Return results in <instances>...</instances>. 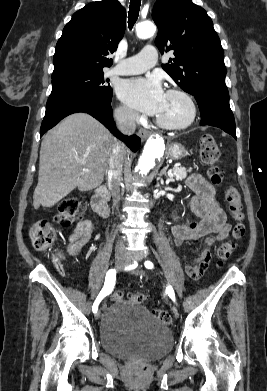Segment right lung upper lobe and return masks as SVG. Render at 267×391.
<instances>
[{
    "label": "right lung upper lobe",
    "mask_w": 267,
    "mask_h": 391,
    "mask_svg": "<svg viewBox=\"0 0 267 391\" xmlns=\"http://www.w3.org/2000/svg\"><path fill=\"white\" fill-rule=\"evenodd\" d=\"M125 26V9L117 0L92 2L75 12L57 42L52 76L110 67L107 55L116 50Z\"/></svg>",
    "instance_id": "obj_1"
}]
</instances>
